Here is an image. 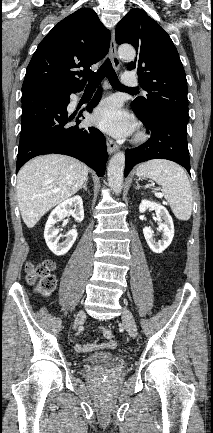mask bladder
Segmentation results:
<instances>
[{"label":"bladder","mask_w":213,"mask_h":433,"mask_svg":"<svg viewBox=\"0 0 213 433\" xmlns=\"http://www.w3.org/2000/svg\"><path fill=\"white\" fill-rule=\"evenodd\" d=\"M115 359H116V356L112 352H99V353H94V354L90 355L86 359V362L88 364H100V363L110 362V361H113Z\"/></svg>","instance_id":"bladder-1"}]
</instances>
